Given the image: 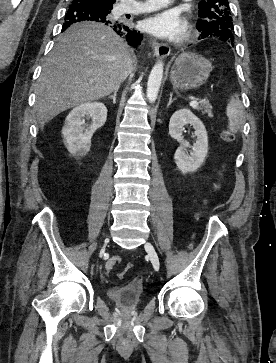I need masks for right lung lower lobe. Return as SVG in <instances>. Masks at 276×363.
Instances as JSON below:
<instances>
[{"label":"right lung lower lobe","instance_id":"98d812e1","mask_svg":"<svg viewBox=\"0 0 276 363\" xmlns=\"http://www.w3.org/2000/svg\"><path fill=\"white\" fill-rule=\"evenodd\" d=\"M80 21H96L108 25L120 36L124 37L130 46L136 48L141 44L143 35L140 32L129 28L121 22H115L109 17L104 16L103 13L90 4H79V6L69 7L65 15V23L63 24L62 31L66 30L71 24Z\"/></svg>","mask_w":276,"mask_h":363}]
</instances>
